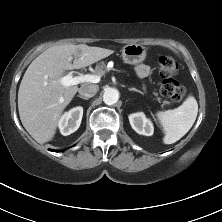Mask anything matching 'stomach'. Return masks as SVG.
<instances>
[{
    "mask_svg": "<svg viewBox=\"0 0 222 222\" xmlns=\"http://www.w3.org/2000/svg\"><path fill=\"white\" fill-rule=\"evenodd\" d=\"M146 47L141 44H128L122 49V58L125 63L136 65L146 58Z\"/></svg>",
    "mask_w": 222,
    "mask_h": 222,
    "instance_id": "stomach-1",
    "label": "stomach"
}]
</instances>
